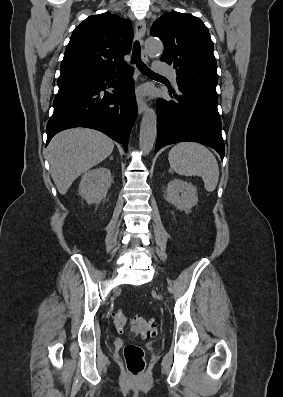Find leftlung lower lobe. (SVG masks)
Wrapping results in <instances>:
<instances>
[{
  "mask_svg": "<svg viewBox=\"0 0 283 397\" xmlns=\"http://www.w3.org/2000/svg\"><path fill=\"white\" fill-rule=\"evenodd\" d=\"M170 96L175 100H157L155 152L169 144L193 141L215 149L223 160L225 148L218 97L183 86L170 90Z\"/></svg>",
  "mask_w": 283,
  "mask_h": 397,
  "instance_id": "left-lung-lower-lobe-1",
  "label": "left lung lower lobe"
}]
</instances>
